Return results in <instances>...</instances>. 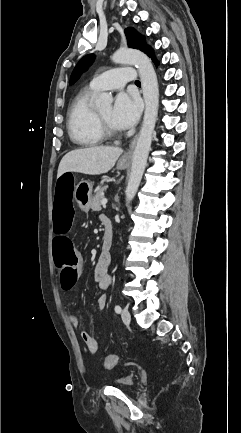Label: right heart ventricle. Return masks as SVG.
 Segmentation results:
<instances>
[{
    "instance_id": "e07e8e85",
    "label": "right heart ventricle",
    "mask_w": 241,
    "mask_h": 433,
    "mask_svg": "<svg viewBox=\"0 0 241 433\" xmlns=\"http://www.w3.org/2000/svg\"><path fill=\"white\" fill-rule=\"evenodd\" d=\"M94 91L83 89L73 100L68 113V132L73 143L91 147L101 144L104 137L98 129L93 107Z\"/></svg>"
}]
</instances>
